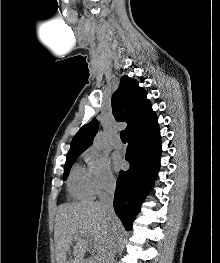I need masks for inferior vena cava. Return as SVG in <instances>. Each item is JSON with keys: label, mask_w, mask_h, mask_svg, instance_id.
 Instances as JSON below:
<instances>
[{"label": "inferior vena cava", "mask_w": 220, "mask_h": 263, "mask_svg": "<svg viewBox=\"0 0 220 263\" xmlns=\"http://www.w3.org/2000/svg\"><path fill=\"white\" fill-rule=\"evenodd\" d=\"M115 188L116 182L113 178H111L103 186V191L100 195L99 204L101 205L103 211L110 221H113V218L116 216L113 208ZM120 235L121 231L113 225L110 229V233L107 239L106 251L102 263H114L115 253L120 242Z\"/></svg>", "instance_id": "inferior-vena-cava-1"}]
</instances>
